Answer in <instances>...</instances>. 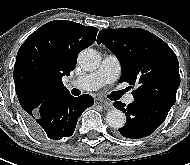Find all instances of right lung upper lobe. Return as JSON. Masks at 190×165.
Returning a JSON list of instances; mask_svg holds the SVG:
<instances>
[{
	"mask_svg": "<svg viewBox=\"0 0 190 165\" xmlns=\"http://www.w3.org/2000/svg\"><path fill=\"white\" fill-rule=\"evenodd\" d=\"M97 32L96 27L55 20L26 39L17 53L13 73L24 113L36 110L51 94L68 91L62 77L75 69L78 53L94 43Z\"/></svg>",
	"mask_w": 190,
	"mask_h": 165,
	"instance_id": "right-lung-upper-lobe-1",
	"label": "right lung upper lobe"
}]
</instances>
